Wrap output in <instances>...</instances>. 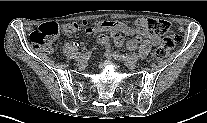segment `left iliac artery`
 <instances>
[{
    "mask_svg": "<svg viewBox=\"0 0 207 123\" xmlns=\"http://www.w3.org/2000/svg\"><path fill=\"white\" fill-rule=\"evenodd\" d=\"M125 58L128 61H132V62H137L138 61V55L137 54L126 55Z\"/></svg>",
    "mask_w": 207,
    "mask_h": 123,
    "instance_id": "1",
    "label": "left iliac artery"
}]
</instances>
